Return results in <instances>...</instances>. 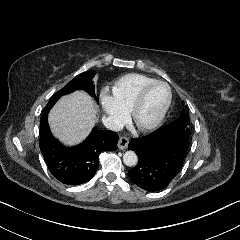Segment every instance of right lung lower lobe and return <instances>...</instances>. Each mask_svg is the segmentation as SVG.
I'll return each mask as SVG.
<instances>
[{
	"mask_svg": "<svg viewBox=\"0 0 240 240\" xmlns=\"http://www.w3.org/2000/svg\"><path fill=\"white\" fill-rule=\"evenodd\" d=\"M118 135L110 130L93 129L78 146L65 147L51 134L48 114L40 123V149L51 174L61 183L80 185L88 182L99 166L104 151L117 149Z\"/></svg>",
	"mask_w": 240,
	"mask_h": 240,
	"instance_id": "right-lung-lower-lobe-1",
	"label": "right lung lower lobe"
}]
</instances>
